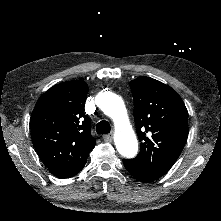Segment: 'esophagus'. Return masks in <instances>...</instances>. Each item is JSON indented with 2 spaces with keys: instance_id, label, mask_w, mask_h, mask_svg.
Masks as SVG:
<instances>
[{
  "instance_id": "esophagus-1",
  "label": "esophagus",
  "mask_w": 221,
  "mask_h": 221,
  "mask_svg": "<svg viewBox=\"0 0 221 221\" xmlns=\"http://www.w3.org/2000/svg\"><path fill=\"white\" fill-rule=\"evenodd\" d=\"M103 139H104L105 142L111 143L113 141V134L112 133L111 134H106V135L103 136Z\"/></svg>"
}]
</instances>
